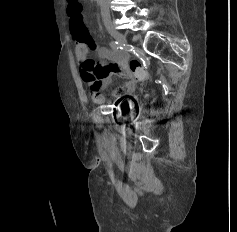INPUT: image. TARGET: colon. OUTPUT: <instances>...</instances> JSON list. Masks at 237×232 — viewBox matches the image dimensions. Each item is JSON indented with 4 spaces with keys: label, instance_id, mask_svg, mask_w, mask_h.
I'll list each match as a JSON object with an SVG mask.
<instances>
[{
    "label": "colon",
    "instance_id": "colon-1",
    "mask_svg": "<svg viewBox=\"0 0 237 232\" xmlns=\"http://www.w3.org/2000/svg\"><path fill=\"white\" fill-rule=\"evenodd\" d=\"M68 13L70 16L71 28L79 33L85 31V23L83 19V7L79 0H69ZM130 71L139 78H146L148 76L146 70L143 68L141 62L137 59H132L129 62Z\"/></svg>",
    "mask_w": 237,
    "mask_h": 232
}]
</instances>
